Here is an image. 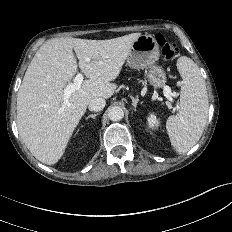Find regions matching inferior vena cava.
<instances>
[{
    "label": "inferior vena cava",
    "mask_w": 232,
    "mask_h": 232,
    "mask_svg": "<svg viewBox=\"0 0 232 232\" xmlns=\"http://www.w3.org/2000/svg\"><path fill=\"white\" fill-rule=\"evenodd\" d=\"M105 104H106L105 99L101 97H96L89 102L88 108L90 111L98 112L105 107Z\"/></svg>",
    "instance_id": "602c4592"
}]
</instances>
